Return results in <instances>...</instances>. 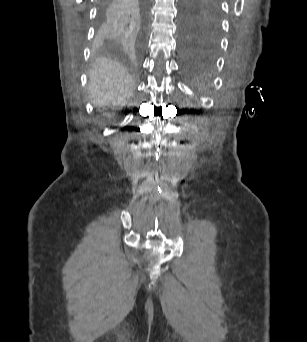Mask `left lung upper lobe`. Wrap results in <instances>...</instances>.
<instances>
[{
  "label": "left lung upper lobe",
  "mask_w": 307,
  "mask_h": 342,
  "mask_svg": "<svg viewBox=\"0 0 307 342\" xmlns=\"http://www.w3.org/2000/svg\"><path fill=\"white\" fill-rule=\"evenodd\" d=\"M219 0H182L180 9L182 50L185 54H211L219 45Z\"/></svg>",
  "instance_id": "1"
}]
</instances>
